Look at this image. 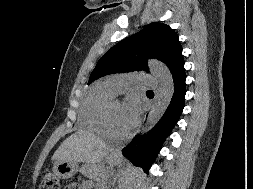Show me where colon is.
Instances as JSON below:
<instances>
[{
	"mask_svg": "<svg viewBox=\"0 0 253 189\" xmlns=\"http://www.w3.org/2000/svg\"><path fill=\"white\" fill-rule=\"evenodd\" d=\"M60 187V180L51 172L44 175L40 186L41 189H60Z\"/></svg>",
	"mask_w": 253,
	"mask_h": 189,
	"instance_id": "obj_1",
	"label": "colon"
}]
</instances>
